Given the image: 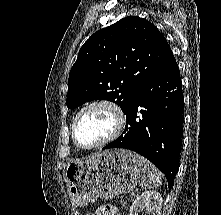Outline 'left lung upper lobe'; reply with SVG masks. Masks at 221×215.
Masks as SVG:
<instances>
[{
    "label": "left lung upper lobe",
    "mask_w": 221,
    "mask_h": 215,
    "mask_svg": "<svg viewBox=\"0 0 221 215\" xmlns=\"http://www.w3.org/2000/svg\"><path fill=\"white\" fill-rule=\"evenodd\" d=\"M170 51L158 29L137 16L95 32L79 50L70 71L67 107L101 99L116 103L126 114L136 93Z\"/></svg>",
    "instance_id": "5c2ea615"
}]
</instances>
